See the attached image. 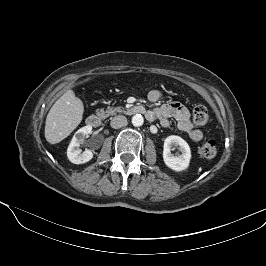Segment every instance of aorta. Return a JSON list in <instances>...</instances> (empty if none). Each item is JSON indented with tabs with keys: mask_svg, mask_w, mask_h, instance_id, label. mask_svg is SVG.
Segmentation results:
<instances>
[{
	"mask_svg": "<svg viewBox=\"0 0 266 266\" xmlns=\"http://www.w3.org/2000/svg\"><path fill=\"white\" fill-rule=\"evenodd\" d=\"M143 122H144V119H143V116H142L141 114H135V115L132 117V124H133L135 127L142 126V125H143Z\"/></svg>",
	"mask_w": 266,
	"mask_h": 266,
	"instance_id": "obj_1",
	"label": "aorta"
}]
</instances>
